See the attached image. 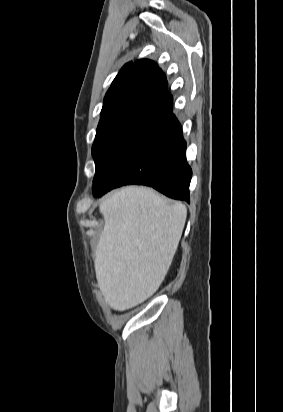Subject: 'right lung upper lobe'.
<instances>
[{"label":"right lung upper lobe","mask_w":283,"mask_h":412,"mask_svg":"<svg viewBox=\"0 0 283 412\" xmlns=\"http://www.w3.org/2000/svg\"><path fill=\"white\" fill-rule=\"evenodd\" d=\"M173 106L167 91V80L158 66L150 60L125 64L107 91L101 119L123 114L161 112L163 117Z\"/></svg>","instance_id":"obj_1"}]
</instances>
